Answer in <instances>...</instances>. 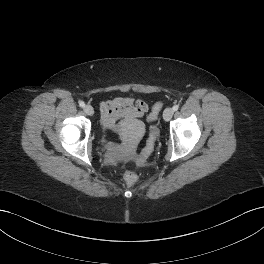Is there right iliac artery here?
I'll use <instances>...</instances> for the list:
<instances>
[{
	"label": "right iliac artery",
	"instance_id": "82829eb1",
	"mask_svg": "<svg viewBox=\"0 0 264 264\" xmlns=\"http://www.w3.org/2000/svg\"><path fill=\"white\" fill-rule=\"evenodd\" d=\"M79 106H80V107H84V106H85V103H84L83 101H80V102H79Z\"/></svg>",
	"mask_w": 264,
	"mask_h": 264
}]
</instances>
